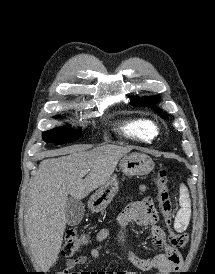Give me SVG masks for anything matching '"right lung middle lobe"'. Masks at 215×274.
Listing matches in <instances>:
<instances>
[{
    "mask_svg": "<svg viewBox=\"0 0 215 274\" xmlns=\"http://www.w3.org/2000/svg\"><path fill=\"white\" fill-rule=\"evenodd\" d=\"M80 134L81 131L73 132L68 128H55L45 131L42 136L46 142L52 141L55 144H63L76 140Z\"/></svg>",
    "mask_w": 215,
    "mask_h": 274,
    "instance_id": "obj_1",
    "label": "right lung middle lobe"
}]
</instances>
